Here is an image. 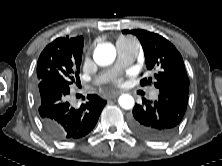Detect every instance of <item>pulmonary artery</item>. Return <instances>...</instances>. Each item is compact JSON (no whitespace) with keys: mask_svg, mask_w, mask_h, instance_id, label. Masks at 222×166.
I'll use <instances>...</instances> for the list:
<instances>
[{"mask_svg":"<svg viewBox=\"0 0 222 166\" xmlns=\"http://www.w3.org/2000/svg\"><path fill=\"white\" fill-rule=\"evenodd\" d=\"M139 46L135 41H120L117 42L118 61L112 71H109L106 75L114 74L118 69L132 63L138 54ZM106 75L99 76L94 84L100 83ZM158 95L156 89H152L149 93L151 99H155Z\"/></svg>","mask_w":222,"mask_h":166,"instance_id":"1","label":"pulmonary artery"}]
</instances>
